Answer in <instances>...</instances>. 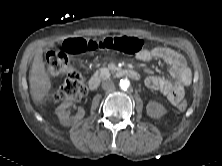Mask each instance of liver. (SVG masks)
Segmentation results:
<instances>
[{"mask_svg":"<svg viewBox=\"0 0 222 166\" xmlns=\"http://www.w3.org/2000/svg\"><path fill=\"white\" fill-rule=\"evenodd\" d=\"M30 94L34 103H41L51 89V80L43 61V49L39 48L33 59L29 75Z\"/></svg>","mask_w":222,"mask_h":166,"instance_id":"obj_1","label":"liver"}]
</instances>
